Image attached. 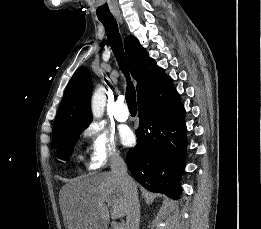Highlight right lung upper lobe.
Listing matches in <instances>:
<instances>
[{
	"label": "right lung upper lobe",
	"instance_id": "1",
	"mask_svg": "<svg viewBox=\"0 0 261 229\" xmlns=\"http://www.w3.org/2000/svg\"><path fill=\"white\" fill-rule=\"evenodd\" d=\"M125 52L131 74L137 81V98L154 89L168 77L132 35L125 39ZM91 89V75L88 69L79 68L70 79L60 103L53 126L52 148L59 146L64 140L60 133L62 127L91 123Z\"/></svg>",
	"mask_w": 261,
	"mask_h": 229
}]
</instances>
